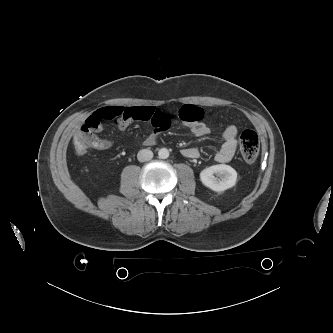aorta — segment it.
<instances>
[{
	"label": "aorta",
	"mask_w": 333,
	"mask_h": 333,
	"mask_svg": "<svg viewBox=\"0 0 333 333\" xmlns=\"http://www.w3.org/2000/svg\"><path fill=\"white\" fill-rule=\"evenodd\" d=\"M158 156L161 159H167L169 157V151L167 148H161L158 151Z\"/></svg>",
	"instance_id": "1"
}]
</instances>
